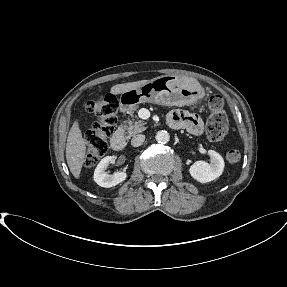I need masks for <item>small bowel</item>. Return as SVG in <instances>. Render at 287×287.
<instances>
[{
    "mask_svg": "<svg viewBox=\"0 0 287 287\" xmlns=\"http://www.w3.org/2000/svg\"><path fill=\"white\" fill-rule=\"evenodd\" d=\"M167 120L172 128L185 129L193 135H200L203 131L201 118L188 111L174 110L169 113Z\"/></svg>",
    "mask_w": 287,
    "mask_h": 287,
    "instance_id": "obj_1",
    "label": "small bowel"
}]
</instances>
